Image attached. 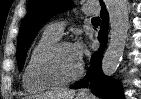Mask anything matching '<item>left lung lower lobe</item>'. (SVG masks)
Masks as SVG:
<instances>
[{
	"label": "left lung lower lobe",
	"mask_w": 141,
	"mask_h": 99,
	"mask_svg": "<svg viewBox=\"0 0 141 99\" xmlns=\"http://www.w3.org/2000/svg\"><path fill=\"white\" fill-rule=\"evenodd\" d=\"M101 18V29L98 35L101 47L93 54L90 62L91 66L85 78L70 88L78 89L81 86H87L88 83H90L92 93L100 98L123 99L121 85L105 76L101 69L102 54L106 47L108 31V15L104 5L101 10Z\"/></svg>",
	"instance_id": "obj_1"
}]
</instances>
